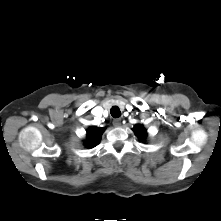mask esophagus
<instances>
[{"label": "esophagus", "mask_w": 221, "mask_h": 221, "mask_svg": "<svg viewBox=\"0 0 221 221\" xmlns=\"http://www.w3.org/2000/svg\"><path fill=\"white\" fill-rule=\"evenodd\" d=\"M113 125L115 127H120L121 126V118H116L113 120Z\"/></svg>", "instance_id": "34e87169"}]
</instances>
